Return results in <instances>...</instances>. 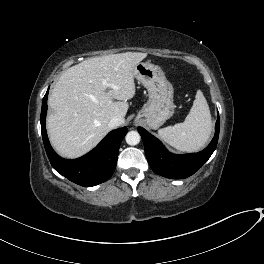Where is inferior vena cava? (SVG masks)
<instances>
[{"label":"inferior vena cava","instance_id":"1","mask_svg":"<svg viewBox=\"0 0 264 264\" xmlns=\"http://www.w3.org/2000/svg\"><path fill=\"white\" fill-rule=\"evenodd\" d=\"M123 120L119 117H113L110 119L108 126L110 129H114L122 124Z\"/></svg>","mask_w":264,"mask_h":264}]
</instances>
